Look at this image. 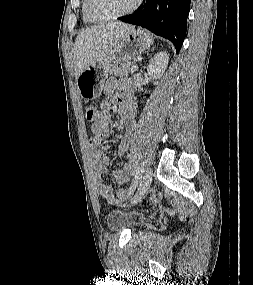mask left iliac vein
Here are the masks:
<instances>
[{"label":"left iliac vein","mask_w":253,"mask_h":285,"mask_svg":"<svg viewBox=\"0 0 253 285\" xmlns=\"http://www.w3.org/2000/svg\"><path fill=\"white\" fill-rule=\"evenodd\" d=\"M152 177H153V171L150 168L145 172L137 188L136 194L134 198L131 200V205L135 204L138 200H140L145 195V193L147 192V190L149 189L151 185Z\"/></svg>","instance_id":"obj_1"}]
</instances>
